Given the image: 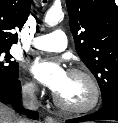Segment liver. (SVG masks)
Segmentation results:
<instances>
[{
  "instance_id": "6515ba94",
  "label": "liver",
  "mask_w": 118,
  "mask_h": 123,
  "mask_svg": "<svg viewBox=\"0 0 118 123\" xmlns=\"http://www.w3.org/2000/svg\"><path fill=\"white\" fill-rule=\"evenodd\" d=\"M20 120L14 110L0 103V123H19Z\"/></svg>"
}]
</instances>
